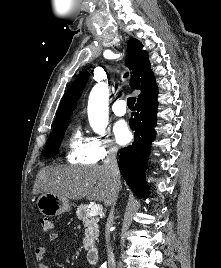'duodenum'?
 <instances>
[{"label": "duodenum", "mask_w": 221, "mask_h": 268, "mask_svg": "<svg viewBox=\"0 0 221 268\" xmlns=\"http://www.w3.org/2000/svg\"><path fill=\"white\" fill-rule=\"evenodd\" d=\"M99 260V250L96 247H92L87 252V261L90 264H96Z\"/></svg>", "instance_id": "obj_1"}]
</instances>
